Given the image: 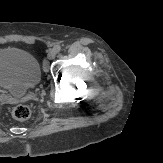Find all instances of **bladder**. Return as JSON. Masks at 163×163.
<instances>
[{"label":"bladder","instance_id":"31cf9c89","mask_svg":"<svg viewBox=\"0 0 163 163\" xmlns=\"http://www.w3.org/2000/svg\"><path fill=\"white\" fill-rule=\"evenodd\" d=\"M41 79L40 64L31 53L18 48L0 50V89L22 94Z\"/></svg>","mask_w":163,"mask_h":163}]
</instances>
